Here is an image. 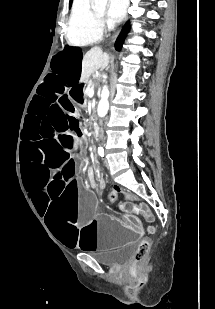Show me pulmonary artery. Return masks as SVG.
<instances>
[{
    "instance_id": "1",
    "label": "pulmonary artery",
    "mask_w": 215,
    "mask_h": 309,
    "mask_svg": "<svg viewBox=\"0 0 215 309\" xmlns=\"http://www.w3.org/2000/svg\"><path fill=\"white\" fill-rule=\"evenodd\" d=\"M89 0H74V11L76 16H85Z\"/></svg>"
}]
</instances>
